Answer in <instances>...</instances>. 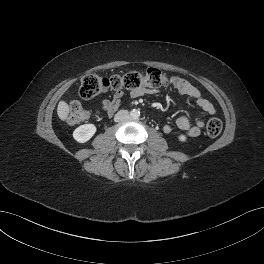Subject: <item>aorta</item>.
Listing matches in <instances>:
<instances>
[{"mask_svg": "<svg viewBox=\"0 0 264 264\" xmlns=\"http://www.w3.org/2000/svg\"><path fill=\"white\" fill-rule=\"evenodd\" d=\"M130 116H131V118H133V119H138V118L140 117V111L137 110V109H133V110H131V112H130Z\"/></svg>", "mask_w": 264, "mask_h": 264, "instance_id": "762f6f07", "label": "aorta"}]
</instances>
